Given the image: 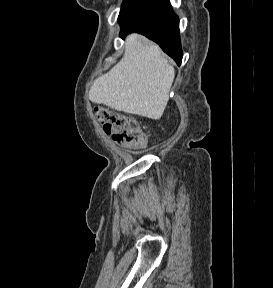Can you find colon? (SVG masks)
<instances>
[{"label":"colon","instance_id":"1","mask_svg":"<svg viewBox=\"0 0 273 288\" xmlns=\"http://www.w3.org/2000/svg\"><path fill=\"white\" fill-rule=\"evenodd\" d=\"M94 113L117 145L140 148L146 144V135L133 117L105 107H96Z\"/></svg>","mask_w":273,"mask_h":288}]
</instances>
